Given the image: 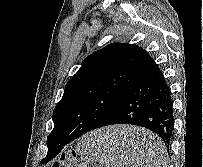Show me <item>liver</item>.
<instances>
[{"mask_svg":"<svg viewBox=\"0 0 203 167\" xmlns=\"http://www.w3.org/2000/svg\"><path fill=\"white\" fill-rule=\"evenodd\" d=\"M116 153L127 162H136L143 157V146L153 135L139 127L115 126L108 128Z\"/></svg>","mask_w":203,"mask_h":167,"instance_id":"obj_1","label":"liver"}]
</instances>
